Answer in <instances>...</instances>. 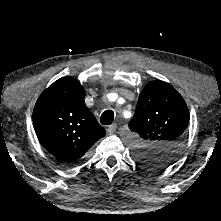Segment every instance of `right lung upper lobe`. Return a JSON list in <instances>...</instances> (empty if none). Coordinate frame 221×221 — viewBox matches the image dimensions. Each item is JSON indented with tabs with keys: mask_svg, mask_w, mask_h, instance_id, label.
Masks as SVG:
<instances>
[{
	"mask_svg": "<svg viewBox=\"0 0 221 221\" xmlns=\"http://www.w3.org/2000/svg\"><path fill=\"white\" fill-rule=\"evenodd\" d=\"M84 98L83 86L68 76L48 87L34 107L33 124L39 141L66 163L80 160L106 134Z\"/></svg>",
	"mask_w": 221,
	"mask_h": 221,
	"instance_id": "right-lung-upper-lobe-1",
	"label": "right lung upper lobe"
}]
</instances>
